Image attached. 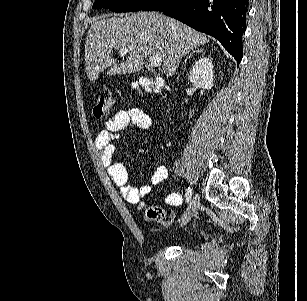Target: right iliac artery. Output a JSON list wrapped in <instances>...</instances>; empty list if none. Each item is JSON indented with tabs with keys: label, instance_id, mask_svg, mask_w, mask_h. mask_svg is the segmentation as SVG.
I'll list each match as a JSON object with an SVG mask.
<instances>
[{
	"label": "right iliac artery",
	"instance_id": "82829eb1",
	"mask_svg": "<svg viewBox=\"0 0 307 301\" xmlns=\"http://www.w3.org/2000/svg\"><path fill=\"white\" fill-rule=\"evenodd\" d=\"M185 197H186V202L189 203L192 198V191L189 189V187L185 192Z\"/></svg>",
	"mask_w": 307,
	"mask_h": 301
}]
</instances>
